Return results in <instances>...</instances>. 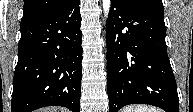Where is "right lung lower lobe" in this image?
Listing matches in <instances>:
<instances>
[{
    "label": "right lung lower lobe",
    "mask_w": 193,
    "mask_h": 112,
    "mask_svg": "<svg viewBox=\"0 0 193 112\" xmlns=\"http://www.w3.org/2000/svg\"><path fill=\"white\" fill-rule=\"evenodd\" d=\"M79 0L20 27L11 112L63 106L79 112L82 32Z\"/></svg>",
    "instance_id": "obj_1"
}]
</instances>
